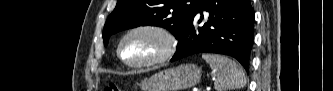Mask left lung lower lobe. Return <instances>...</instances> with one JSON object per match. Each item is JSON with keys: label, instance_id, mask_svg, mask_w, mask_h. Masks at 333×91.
Here are the masks:
<instances>
[{"label": "left lung lower lobe", "instance_id": "1", "mask_svg": "<svg viewBox=\"0 0 333 91\" xmlns=\"http://www.w3.org/2000/svg\"><path fill=\"white\" fill-rule=\"evenodd\" d=\"M203 10L209 13L208 21L199 26ZM254 18L250 0H201L177 38L171 61L196 53H218L234 57L248 71Z\"/></svg>", "mask_w": 333, "mask_h": 91}]
</instances>
